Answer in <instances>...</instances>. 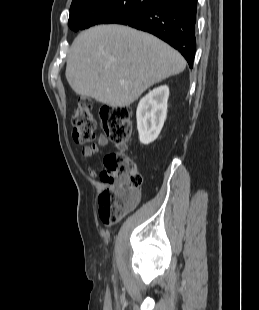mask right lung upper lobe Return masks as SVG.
<instances>
[{
  "instance_id": "right-lung-upper-lobe-1",
  "label": "right lung upper lobe",
  "mask_w": 259,
  "mask_h": 310,
  "mask_svg": "<svg viewBox=\"0 0 259 310\" xmlns=\"http://www.w3.org/2000/svg\"><path fill=\"white\" fill-rule=\"evenodd\" d=\"M101 0H73L70 10H73L75 8L91 5L93 3L99 2Z\"/></svg>"
}]
</instances>
